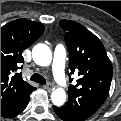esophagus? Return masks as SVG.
I'll return each mask as SVG.
<instances>
[{"instance_id": "obj_1", "label": "esophagus", "mask_w": 121, "mask_h": 121, "mask_svg": "<svg viewBox=\"0 0 121 121\" xmlns=\"http://www.w3.org/2000/svg\"><path fill=\"white\" fill-rule=\"evenodd\" d=\"M44 89L51 91L53 89V85L52 84H47L43 86Z\"/></svg>"}]
</instances>
